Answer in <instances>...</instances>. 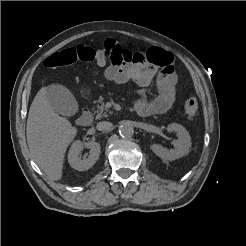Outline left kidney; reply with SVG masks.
I'll return each mask as SVG.
<instances>
[{
	"label": "left kidney",
	"instance_id": "left-kidney-1",
	"mask_svg": "<svg viewBox=\"0 0 246 246\" xmlns=\"http://www.w3.org/2000/svg\"><path fill=\"white\" fill-rule=\"evenodd\" d=\"M168 132H175L178 137L173 142L174 149L167 150L159 144L151 145V150L163 160L173 161L189 153L191 138L187 130L180 124L172 123L167 126Z\"/></svg>",
	"mask_w": 246,
	"mask_h": 246
}]
</instances>
